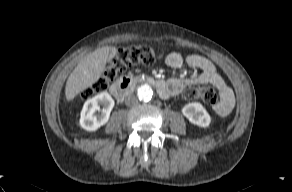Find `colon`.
<instances>
[{"mask_svg": "<svg viewBox=\"0 0 292 192\" xmlns=\"http://www.w3.org/2000/svg\"><path fill=\"white\" fill-rule=\"evenodd\" d=\"M160 57L158 51L149 46H129L119 49L103 75L80 93V99L85 100L94 94L106 91L118 75L128 67L137 64L152 65ZM184 97L188 100H201L209 104H216L219 99L218 89L213 85L190 88L184 93Z\"/></svg>", "mask_w": 292, "mask_h": 192, "instance_id": "colon-1", "label": "colon"}]
</instances>
